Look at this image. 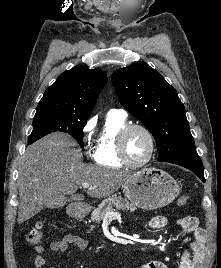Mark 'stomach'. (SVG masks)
Here are the masks:
<instances>
[{
  "mask_svg": "<svg viewBox=\"0 0 221 268\" xmlns=\"http://www.w3.org/2000/svg\"><path fill=\"white\" fill-rule=\"evenodd\" d=\"M180 191L177 181L168 173L157 168H144L128 179L123 192L128 200L146 210L162 208L172 203ZM86 213L83 205H74L69 214L81 217Z\"/></svg>",
  "mask_w": 221,
  "mask_h": 268,
  "instance_id": "1",
  "label": "stomach"
}]
</instances>
